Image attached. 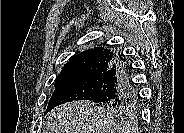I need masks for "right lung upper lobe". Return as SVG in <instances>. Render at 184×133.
<instances>
[{"mask_svg":"<svg viewBox=\"0 0 184 133\" xmlns=\"http://www.w3.org/2000/svg\"><path fill=\"white\" fill-rule=\"evenodd\" d=\"M114 52L104 46L90 48L73 55L55 80L93 74H104L113 60Z\"/></svg>","mask_w":184,"mask_h":133,"instance_id":"cb5924a9","label":"right lung upper lobe"}]
</instances>
